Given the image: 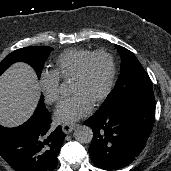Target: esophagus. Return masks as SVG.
<instances>
[{
  "label": "esophagus",
  "mask_w": 171,
  "mask_h": 171,
  "mask_svg": "<svg viewBox=\"0 0 171 171\" xmlns=\"http://www.w3.org/2000/svg\"><path fill=\"white\" fill-rule=\"evenodd\" d=\"M77 127V124H63L62 125V131L65 134L71 133L75 128Z\"/></svg>",
  "instance_id": "34e87169"
}]
</instances>
